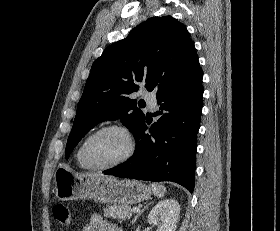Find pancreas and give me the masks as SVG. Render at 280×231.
Returning <instances> with one entry per match:
<instances>
[{
  "label": "pancreas",
  "instance_id": "cf45deb5",
  "mask_svg": "<svg viewBox=\"0 0 280 231\" xmlns=\"http://www.w3.org/2000/svg\"><path fill=\"white\" fill-rule=\"evenodd\" d=\"M104 217H117V219H126V217H130V205H107L104 209L103 213Z\"/></svg>",
  "mask_w": 280,
  "mask_h": 231
}]
</instances>
